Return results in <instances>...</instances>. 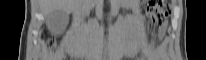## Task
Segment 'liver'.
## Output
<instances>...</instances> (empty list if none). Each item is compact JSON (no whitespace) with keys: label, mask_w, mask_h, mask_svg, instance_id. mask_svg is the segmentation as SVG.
I'll return each instance as SVG.
<instances>
[{"label":"liver","mask_w":206,"mask_h":60,"mask_svg":"<svg viewBox=\"0 0 206 60\" xmlns=\"http://www.w3.org/2000/svg\"><path fill=\"white\" fill-rule=\"evenodd\" d=\"M85 0H40L43 12L48 15L55 10L70 13L78 8Z\"/></svg>","instance_id":"6515ba94"}]
</instances>
